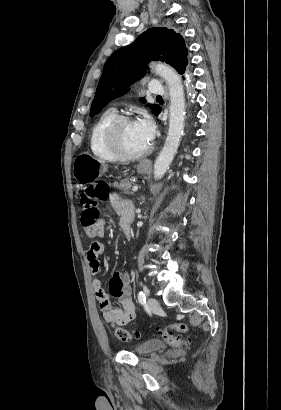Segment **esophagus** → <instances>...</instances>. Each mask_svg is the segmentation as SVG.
<instances>
[{
  "label": "esophagus",
  "instance_id": "esophagus-1",
  "mask_svg": "<svg viewBox=\"0 0 281 410\" xmlns=\"http://www.w3.org/2000/svg\"><path fill=\"white\" fill-rule=\"evenodd\" d=\"M141 165L143 166H149L150 164L148 162H142Z\"/></svg>",
  "mask_w": 281,
  "mask_h": 410
}]
</instances>
